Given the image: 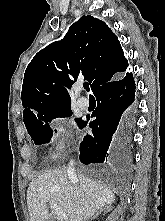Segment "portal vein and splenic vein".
<instances>
[{
	"label": "portal vein and splenic vein",
	"instance_id": "18ae733b",
	"mask_svg": "<svg viewBox=\"0 0 165 221\" xmlns=\"http://www.w3.org/2000/svg\"><path fill=\"white\" fill-rule=\"evenodd\" d=\"M50 208L52 209V211L55 213V215L61 219V220H66L67 219V215L66 213L56 204L50 202Z\"/></svg>",
	"mask_w": 165,
	"mask_h": 221
}]
</instances>
